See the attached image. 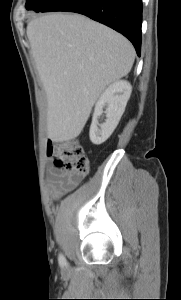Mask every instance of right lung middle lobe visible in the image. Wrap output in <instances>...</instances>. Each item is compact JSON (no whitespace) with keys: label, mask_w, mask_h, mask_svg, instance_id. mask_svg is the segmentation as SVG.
I'll return each mask as SVG.
<instances>
[{"label":"right lung middle lobe","mask_w":181,"mask_h":300,"mask_svg":"<svg viewBox=\"0 0 181 300\" xmlns=\"http://www.w3.org/2000/svg\"><path fill=\"white\" fill-rule=\"evenodd\" d=\"M54 1L55 0H27L25 7L27 10L40 12Z\"/></svg>","instance_id":"1"}]
</instances>
